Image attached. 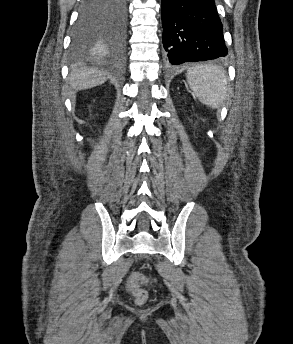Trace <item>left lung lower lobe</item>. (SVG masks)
I'll return each mask as SVG.
<instances>
[{
    "label": "left lung lower lobe",
    "mask_w": 293,
    "mask_h": 344,
    "mask_svg": "<svg viewBox=\"0 0 293 344\" xmlns=\"http://www.w3.org/2000/svg\"><path fill=\"white\" fill-rule=\"evenodd\" d=\"M163 45L170 65L228 53L214 0H162Z\"/></svg>",
    "instance_id": "obj_1"
}]
</instances>
